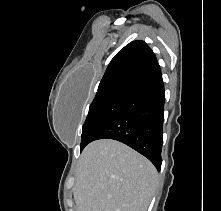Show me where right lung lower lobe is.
<instances>
[{"instance_id":"right-lung-lower-lobe-1","label":"right lung lower lobe","mask_w":221,"mask_h":211,"mask_svg":"<svg viewBox=\"0 0 221 211\" xmlns=\"http://www.w3.org/2000/svg\"><path fill=\"white\" fill-rule=\"evenodd\" d=\"M164 101L162 78L137 88L91 141L108 138L123 142L147 157L160 171Z\"/></svg>"}]
</instances>
